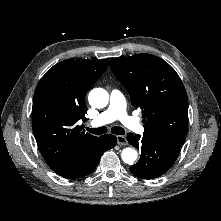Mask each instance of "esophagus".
Returning a JSON list of instances; mask_svg holds the SVG:
<instances>
[{"label": "esophagus", "instance_id": "34e87169", "mask_svg": "<svg viewBox=\"0 0 221 221\" xmlns=\"http://www.w3.org/2000/svg\"><path fill=\"white\" fill-rule=\"evenodd\" d=\"M117 143H118L119 145H127V139H126V137L123 136V135H118V136H117Z\"/></svg>", "mask_w": 221, "mask_h": 221}]
</instances>
